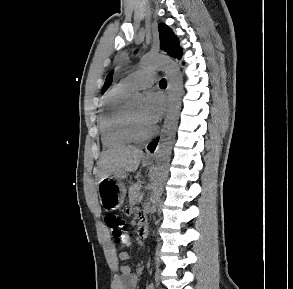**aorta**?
<instances>
[{"label":"aorta","instance_id":"1","mask_svg":"<svg viewBox=\"0 0 293 289\" xmlns=\"http://www.w3.org/2000/svg\"><path fill=\"white\" fill-rule=\"evenodd\" d=\"M140 66L143 69L160 68L164 70L168 80L169 106L162 138L156 151L155 171L150 199L152 203L151 209L155 210L162 196L163 186L168 176L170 156L181 109L183 76L179 66L170 59L164 57L144 56L141 59ZM131 100L134 103H141L144 100V96L139 92H135L131 95Z\"/></svg>","mask_w":293,"mask_h":289}]
</instances>
